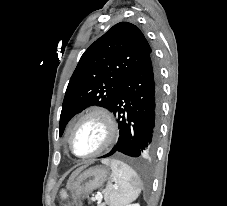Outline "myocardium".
I'll return each instance as SVG.
<instances>
[{"mask_svg": "<svg viewBox=\"0 0 227 206\" xmlns=\"http://www.w3.org/2000/svg\"><path fill=\"white\" fill-rule=\"evenodd\" d=\"M89 118H98L105 127V137L101 145L95 149L94 151L84 154V155H78L75 154L71 148V137L74 132V130L86 119ZM118 135V127L115 120V117L113 116L112 112L103 106H95L87 111H85L83 114H81L78 119L74 122L72 127L70 128L66 143L67 148L69 152L78 158H90L99 155L100 153L104 152L106 149H108L116 140Z\"/></svg>", "mask_w": 227, "mask_h": 206, "instance_id": "f54148a6", "label": "myocardium"}]
</instances>
